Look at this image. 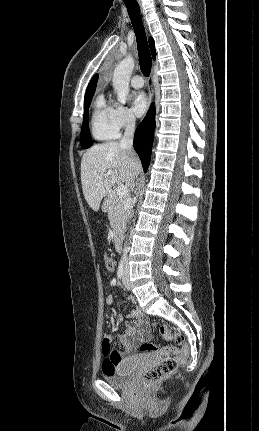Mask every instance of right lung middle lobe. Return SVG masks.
<instances>
[{"label": "right lung middle lobe", "mask_w": 259, "mask_h": 431, "mask_svg": "<svg viewBox=\"0 0 259 431\" xmlns=\"http://www.w3.org/2000/svg\"><path fill=\"white\" fill-rule=\"evenodd\" d=\"M93 93L94 92L86 94L84 98V115H83V123H82L81 138H80L83 149H87L93 144L89 134V111H88L90 102L93 97Z\"/></svg>", "instance_id": "dd1d6c3e"}]
</instances>
